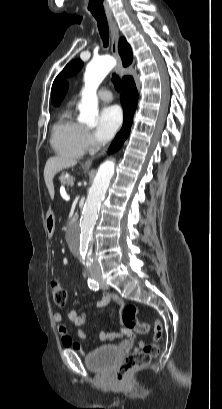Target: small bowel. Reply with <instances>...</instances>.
Returning <instances> with one entry per match:
<instances>
[{
    "label": "small bowel",
    "instance_id": "c3829d8e",
    "mask_svg": "<svg viewBox=\"0 0 222 409\" xmlns=\"http://www.w3.org/2000/svg\"><path fill=\"white\" fill-rule=\"evenodd\" d=\"M114 302L119 309L122 311L125 307V302L123 299L117 295V294H109V293H102L99 296V299L96 302V306L98 308H103L107 306L110 302ZM68 319L75 325L77 328V334L81 339L86 338V333L83 329L84 323H85V315L84 314H79L76 310H70L68 312ZM54 322L57 324V329L59 334L63 337V340L67 335V327L63 324V318L62 315L59 313H56L54 315ZM69 337V336H68ZM100 338L102 341H115L118 339H122V341L119 343V348L124 350V351H129L132 348H140L143 346L144 342L139 341L136 345H134V334L133 332L126 327L124 324L123 326L115 332L107 333L103 330L100 331ZM64 342V341H63ZM64 344L67 347L73 348L77 353L81 355L87 354V350L79 343L74 342L71 337H69L68 341H65Z\"/></svg>",
    "mask_w": 222,
    "mask_h": 409
}]
</instances>
